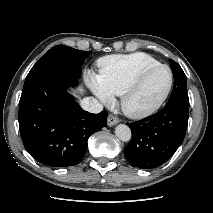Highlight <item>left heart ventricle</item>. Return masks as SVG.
<instances>
[{"instance_id":"b2bd125f","label":"left heart ventricle","mask_w":213,"mask_h":213,"mask_svg":"<svg viewBox=\"0 0 213 213\" xmlns=\"http://www.w3.org/2000/svg\"><path fill=\"white\" fill-rule=\"evenodd\" d=\"M169 78V72L164 68L158 69L151 73L135 92V94L130 98V107L140 109L154 103L166 90L169 83Z\"/></svg>"}]
</instances>
